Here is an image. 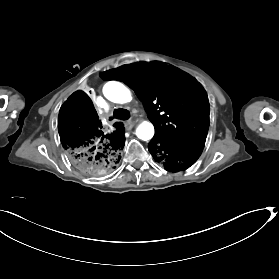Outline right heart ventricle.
<instances>
[{
  "label": "right heart ventricle",
  "instance_id": "e07e8e85",
  "mask_svg": "<svg viewBox=\"0 0 279 279\" xmlns=\"http://www.w3.org/2000/svg\"><path fill=\"white\" fill-rule=\"evenodd\" d=\"M99 67H100V64H99V63L95 64V65L89 70L88 75L91 76V75L95 74V73L98 71ZM113 83L117 84V85L120 86L123 90L126 91V88H125L124 85H122L121 83H118V82H113Z\"/></svg>",
  "mask_w": 279,
  "mask_h": 279
}]
</instances>
